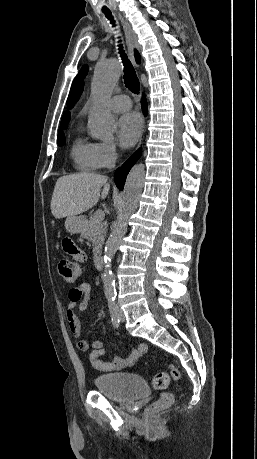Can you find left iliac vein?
Returning <instances> with one entry per match:
<instances>
[{"mask_svg": "<svg viewBox=\"0 0 257 459\" xmlns=\"http://www.w3.org/2000/svg\"><path fill=\"white\" fill-rule=\"evenodd\" d=\"M118 311H119V319L121 322H124L125 321V315H124V312L123 310H121L120 308H118Z\"/></svg>", "mask_w": 257, "mask_h": 459, "instance_id": "obj_1", "label": "left iliac vein"}]
</instances>
